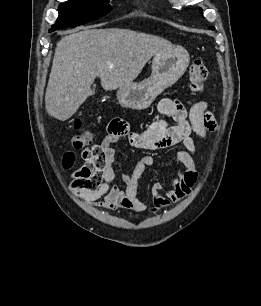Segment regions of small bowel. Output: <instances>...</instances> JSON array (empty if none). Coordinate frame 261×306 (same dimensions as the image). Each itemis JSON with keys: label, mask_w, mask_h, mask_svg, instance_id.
<instances>
[{"label": "small bowel", "mask_w": 261, "mask_h": 306, "mask_svg": "<svg viewBox=\"0 0 261 306\" xmlns=\"http://www.w3.org/2000/svg\"><path fill=\"white\" fill-rule=\"evenodd\" d=\"M161 119L140 131H131L127 122L116 119L110 122L108 131L100 146L106 154V163L96 168L92 160L83 159L85 163L77 170L94 184L91 189L82 190V198L96 207L114 211L119 208L141 213L147 206L138 196L139 180L148 167L154 165L150 155L140 158L130 174H123V186L115 182V149L112 146L123 137L136 149L159 150L181 144L183 149L175 151V157L184 166L172 183L170 189H164L160 183L152 186L154 210L167 208L171 203L181 202L191 191L197 180L195 167L196 143L193 135L206 139L209 132L216 129L213 114L208 110L205 100L192 104L189 110L178 100L164 98L158 104ZM169 120L176 122L169 125Z\"/></svg>", "instance_id": "obj_1"}]
</instances>
